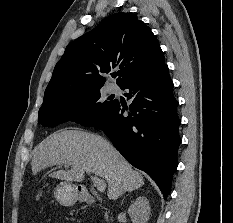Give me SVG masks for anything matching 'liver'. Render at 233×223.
Wrapping results in <instances>:
<instances>
[{
    "instance_id": "liver-1",
    "label": "liver",
    "mask_w": 233,
    "mask_h": 223,
    "mask_svg": "<svg viewBox=\"0 0 233 223\" xmlns=\"http://www.w3.org/2000/svg\"><path fill=\"white\" fill-rule=\"evenodd\" d=\"M53 165H69L58 169L51 177L82 183L86 173H95L107 181L108 199H118L124 191L144 185L142 173L132 169L121 153L101 135L80 131L79 127H65L55 131L35 147L31 161L33 175Z\"/></svg>"
}]
</instances>
